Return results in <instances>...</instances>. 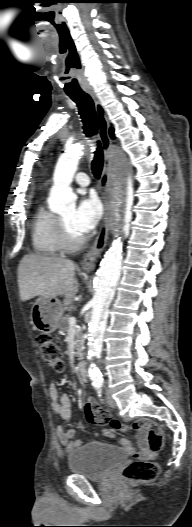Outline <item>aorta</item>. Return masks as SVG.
Listing matches in <instances>:
<instances>
[{"mask_svg": "<svg viewBox=\"0 0 192 527\" xmlns=\"http://www.w3.org/2000/svg\"><path fill=\"white\" fill-rule=\"evenodd\" d=\"M81 155L82 148L76 144L68 147L57 161L49 199V206L53 212H64L75 207V196L70 185ZM130 174L129 164L123 162L115 183L117 205L121 208L130 197ZM121 260L122 243L120 238H117L105 253L95 278V294L92 299L87 343V359L90 361L89 376L93 384H99L102 381V374L94 360L101 355L108 307L114 297L116 282L120 276Z\"/></svg>", "mask_w": 192, "mask_h": 527, "instance_id": "obj_1", "label": "aorta"}]
</instances>
